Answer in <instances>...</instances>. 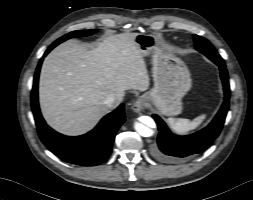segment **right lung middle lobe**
Here are the masks:
<instances>
[{
    "mask_svg": "<svg viewBox=\"0 0 253 200\" xmlns=\"http://www.w3.org/2000/svg\"><path fill=\"white\" fill-rule=\"evenodd\" d=\"M95 32H96V30L73 31V32H70V33L62 36L61 38L57 39L52 45H58L61 42L65 41L69 38H72V37L88 36V35H91Z\"/></svg>",
    "mask_w": 253,
    "mask_h": 200,
    "instance_id": "obj_1",
    "label": "right lung middle lobe"
}]
</instances>
